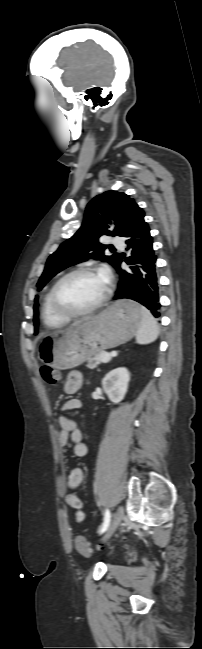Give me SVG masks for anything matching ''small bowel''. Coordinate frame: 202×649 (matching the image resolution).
I'll return each instance as SVG.
<instances>
[{
	"mask_svg": "<svg viewBox=\"0 0 202 649\" xmlns=\"http://www.w3.org/2000/svg\"><path fill=\"white\" fill-rule=\"evenodd\" d=\"M83 374L80 371H72L68 374L64 390L67 393L76 392L82 385ZM81 401L76 398H71L67 400L63 406L62 410L64 414L59 419L60 431L58 434V444L62 449L60 454V460L65 461L64 448L68 445L69 441L73 443V453L77 457H84L88 452L87 445L82 441V432L77 428L75 422L70 419L66 414L72 411L79 410L81 408ZM84 478L83 471L80 467H73L66 480L65 488L75 489L78 488ZM67 504L75 510V516L78 522H81L85 518V514L82 511L83 501L75 495L66 496Z\"/></svg>",
	"mask_w": 202,
	"mask_h": 649,
	"instance_id": "1",
	"label": "small bowel"
}]
</instances>
